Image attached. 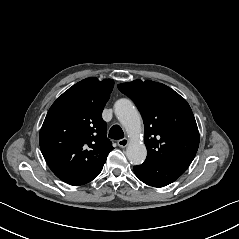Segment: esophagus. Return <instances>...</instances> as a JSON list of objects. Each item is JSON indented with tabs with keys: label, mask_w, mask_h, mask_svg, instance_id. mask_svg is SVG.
I'll return each instance as SVG.
<instances>
[{
	"label": "esophagus",
	"mask_w": 239,
	"mask_h": 239,
	"mask_svg": "<svg viewBox=\"0 0 239 239\" xmlns=\"http://www.w3.org/2000/svg\"><path fill=\"white\" fill-rule=\"evenodd\" d=\"M117 144L119 147L124 148V147L128 146L129 140L127 138H123V139L118 140Z\"/></svg>",
	"instance_id": "esophagus-1"
}]
</instances>
